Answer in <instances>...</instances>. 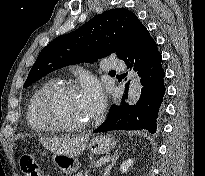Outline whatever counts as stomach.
I'll list each match as a JSON object with an SVG mask.
<instances>
[{
    "label": "stomach",
    "instance_id": "obj_1",
    "mask_svg": "<svg viewBox=\"0 0 205 176\" xmlns=\"http://www.w3.org/2000/svg\"><path fill=\"white\" fill-rule=\"evenodd\" d=\"M116 145L115 138L110 134L94 136L89 143V150L93 154H104L111 151ZM52 162L66 174L75 173L79 169V161L74 156L54 153Z\"/></svg>",
    "mask_w": 205,
    "mask_h": 176
}]
</instances>
